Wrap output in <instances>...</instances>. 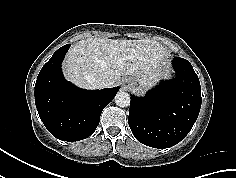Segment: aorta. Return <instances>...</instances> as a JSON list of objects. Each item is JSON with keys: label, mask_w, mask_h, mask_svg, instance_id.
I'll return each instance as SVG.
<instances>
[{"label": "aorta", "mask_w": 236, "mask_h": 178, "mask_svg": "<svg viewBox=\"0 0 236 178\" xmlns=\"http://www.w3.org/2000/svg\"><path fill=\"white\" fill-rule=\"evenodd\" d=\"M130 95L127 92L120 91L115 96V103L119 107H127L130 105Z\"/></svg>", "instance_id": "obj_1"}]
</instances>
